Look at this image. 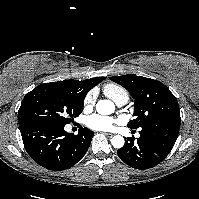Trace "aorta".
I'll list each match as a JSON object with an SVG mask.
<instances>
[{
  "instance_id": "obj_1",
  "label": "aorta",
  "mask_w": 199,
  "mask_h": 199,
  "mask_svg": "<svg viewBox=\"0 0 199 199\" xmlns=\"http://www.w3.org/2000/svg\"><path fill=\"white\" fill-rule=\"evenodd\" d=\"M96 110L101 115H109L114 112L115 105L110 100H99L96 104ZM124 142V138L120 135H116L111 139V144L114 148H122Z\"/></svg>"
}]
</instances>
